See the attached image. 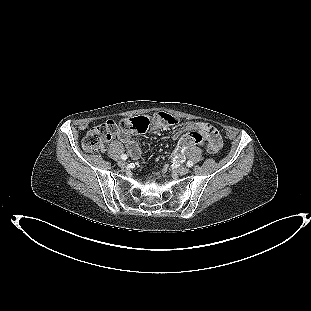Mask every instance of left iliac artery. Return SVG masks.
Instances as JSON below:
<instances>
[{"mask_svg":"<svg viewBox=\"0 0 311 311\" xmlns=\"http://www.w3.org/2000/svg\"><path fill=\"white\" fill-rule=\"evenodd\" d=\"M187 166H188V167H192V166H193V162L189 160V161L187 162Z\"/></svg>","mask_w":311,"mask_h":311,"instance_id":"left-iliac-artery-1","label":"left iliac artery"}]
</instances>
